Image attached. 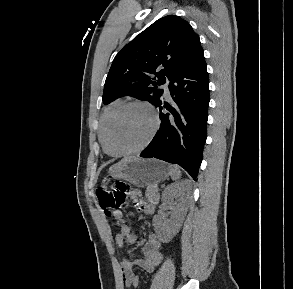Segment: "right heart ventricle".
Wrapping results in <instances>:
<instances>
[{
	"label": "right heart ventricle",
	"instance_id": "1",
	"mask_svg": "<svg viewBox=\"0 0 293 289\" xmlns=\"http://www.w3.org/2000/svg\"><path fill=\"white\" fill-rule=\"evenodd\" d=\"M123 103L121 99H116L113 101L107 108L104 110L102 117L100 119L99 124V130H98V137L99 141L104 149V133L105 128L108 123V120L110 119L111 115L114 113V111Z\"/></svg>",
	"mask_w": 293,
	"mask_h": 289
}]
</instances>
